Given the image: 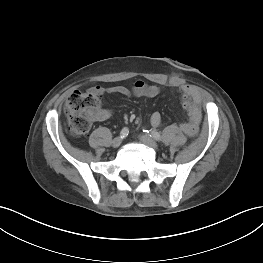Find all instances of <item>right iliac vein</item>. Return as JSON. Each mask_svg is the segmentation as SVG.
Listing matches in <instances>:
<instances>
[{
  "mask_svg": "<svg viewBox=\"0 0 263 263\" xmlns=\"http://www.w3.org/2000/svg\"><path fill=\"white\" fill-rule=\"evenodd\" d=\"M121 143H122V138L121 137H116L112 141V146L114 148H117V147H119L121 145Z\"/></svg>",
  "mask_w": 263,
  "mask_h": 263,
  "instance_id": "obj_1",
  "label": "right iliac vein"
}]
</instances>
